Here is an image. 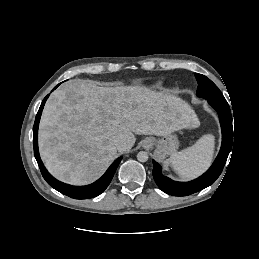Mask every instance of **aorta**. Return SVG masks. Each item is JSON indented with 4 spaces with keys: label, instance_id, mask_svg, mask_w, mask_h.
Listing matches in <instances>:
<instances>
[{
    "label": "aorta",
    "instance_id": "1",
    "mask_svg": "<svg viewBox=\"0 0 259 259\" xmlns=\"http://www.w3.org/2000/svg\"><path fill=\"white\" fill-rule=\"evenodd\" d=\"M149 156H148V153L145 152V151H140L138 154H137V159L138 161L140 162H146L148 160Z\"/></svg>",
    "mask_w": 259,
    "mask_h": 259
}]
</instances>
